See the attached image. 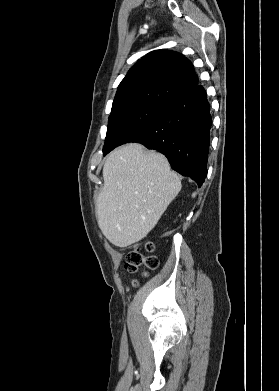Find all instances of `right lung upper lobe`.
Wrapping results in <instances>:
<instances>
[{
	"mask_svg": "<svg viewBox=\"0 0 279 391\" xmlns=\"http://www.w3.org/2000/svg\"><path fill=\"white\" fill-rule=\"evenodd\" d=\"M198 84L191 62L175 51L155 50L139 59L118 86L112 111L135 105H161Z\"/></svg>",
	"mask_w": 279,
	"mask_h": 391,
	"instance_id": "right-lung-upper-lobe-1",
	"label": "right lung upper lobe"
}]
</instances>
